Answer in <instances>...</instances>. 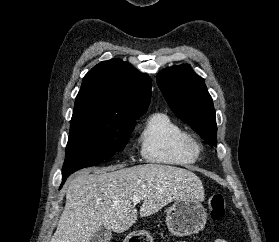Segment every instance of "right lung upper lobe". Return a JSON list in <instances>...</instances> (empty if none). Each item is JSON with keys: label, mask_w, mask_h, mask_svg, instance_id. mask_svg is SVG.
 <instances>
[{"label": "right lung upper lobe", "mask_w": 279, "mask_h": 242, "mask_svg": "<svg viewBox=\"0 0 279 242\" xmlns=\"http://www.w3.org/2000/svg\"><path fill=\"white\" fill-rule=\"evenodd\" d=\"M152 82L147 74L120 59L103 61L83 78L73 116L136 120L150 102Z\"/></svg>", "instance_id": "1"}]
</instances>
